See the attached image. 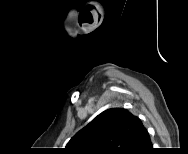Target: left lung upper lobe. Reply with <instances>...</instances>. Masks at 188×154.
<instances>
[{
  "instance_id": "obj_1",
  "label": "left lung upper lobe",
  "mask_w": 188,
  "mask_h": 154,
  "mask_svg": "<svg viewBox=\"0 0 188 154\" xmlns=\"http://www.w3.org/2000/svg\"><path fill=\"white\" fill-rule=\"evenodd\" d=\"M136 116L124 108L105 110L66 145L74 154H127Z\"/></svg>"
}]
</instances>
